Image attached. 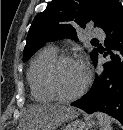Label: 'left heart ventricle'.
Wrapping results in <instances>:
<instances>
[{
  "instance_id": "obj_1",
  "label": "left heart ventricle",
  "mask_w": 123,
  "mask_h": 130,
  "mask_svg": "<svg viewBox=\"0 0 123 130\" xmlns=\"http://www.w3.org/2000/svg\"><path fill=\"white\" fill-rule=\"evenodd\" d=\"M85 70L76 61L63 62L56 74L57 85L63 94L70 95L78 91L85 82Z\"/></svg>"
}]
</instances>
